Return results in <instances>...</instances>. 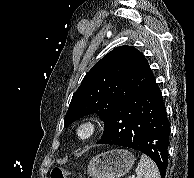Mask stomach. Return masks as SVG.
Here are the masks:
<instances>
[{"instance_id": "1", "label": "stomach", "mask_w": 194, "mask_h": 178, "mask_svg": "<svg viewBox=\"0 0 194 178\" xmlns=\"http://www.w3.org/2000/svg\"><path fill=\"white\" fill-rule=\"evenodd\" d=\"M134 162L135 157L128 150L107 151L91 159L87 174L92 178H120L132 169Z\"/></svg>"}]
</instances>
